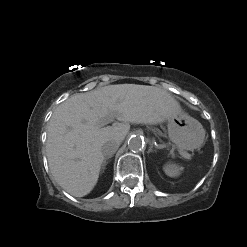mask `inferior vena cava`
Returning <instances> with one entry per match:
<instances>
[{
	"mask_svg": "<svg viewBox=\"0 0 247 247\" xmlns=\"http://www.w3.org/2000/svg\"><path fill=\"white\" fill-rule=\"evenodd\" d=\"M120 146V142L116 140H110L103 144L102 153L104 156L109 157L115 154Z\"/></svg>",
	"mask_w": 247,
	"mask_h": 247,
	"instance_id": "inferior-vena-cava-1",
	"label": "inferior vena cava"
}]
</instances>
